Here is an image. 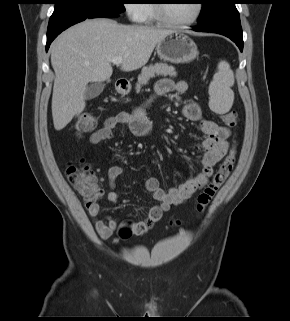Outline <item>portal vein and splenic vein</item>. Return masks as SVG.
Wrapping results in <instances>:
<instances>
[{
    "instance_id": "portal-vein-and-splenic-vein-1",
    "label": "portal vein and splenic vein",
    "mask_w": 290,
    "mask_h": 321,
    "mask_svg": "<svg viewBox=\"0 0 290 321\" xmlns=\"http://www.w3.org/2000/svg\"><path fill=\"white\" fill-rule=\"evenodd\" d=\"M122 60H123L122 57H115L112 59L111 62L115 65H119V64H121Z\"/></svg>"
}]
</instances>
